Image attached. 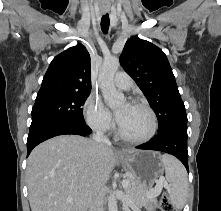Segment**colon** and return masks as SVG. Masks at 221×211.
Returning <instances> with one entry per match:
<instances>
[{"instance_id": "5ec220e1", "label": "colon", "mask_w": 221, "mask_h": 211, "mask_svg": "<svg viewBox=\"0 0 221 211\" xmlns=\"http://www.w3.org/2000/svg\"><path fill=\"white\" fill-rule=\"evenodd\" d=\"M161 211H176L167 194H164L160 204Z\"/></svg>"}]
</instances>
